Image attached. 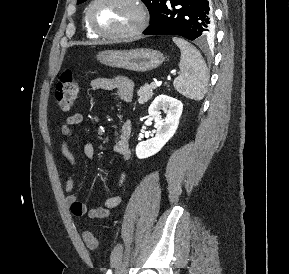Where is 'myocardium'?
Listing matches in <instances>:
<instances>
[{"mask_svg":"<svg viewBox=\"0 0 289 274\" xmlns=\"http://www.w3.org/2000/svg\"><path fill=\"white\" fill-rule=\"evenodd\" d=\"M100 0H92L86 9L85 19L90 30L96 34L97 36L111 39V40H126L131 39L138 36L145 29L148 21V13L145 5L141 0H127L130 4H132L137 11V21L134 26L130 29L122 31V32H105L98 29L92 20L91 12L95 4H97Z\"/></svg>","mask_w":289,"mask_h":274,"instance_id":"f54148a6","label":"myocardium"}]
</instances>
